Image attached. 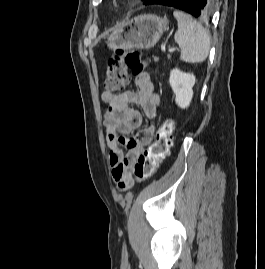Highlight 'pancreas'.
I'll use <instances>...</instances> for the list:
<instances>
[{"label": "pancreas", "instance_id": "cf45deb5", "mask_svg": "<svg viewBox=\"0 0 265 269\" xmlns=\"http://www.w3.org/2000/svg\"><path fill=\"white\" fill-rule=\"evenodd\" d=\"M170 58H171V56L168 55V59H170ZM154 60H155V61H158V58H157V57H154Z\"/></svg>", "mask_w": 265, "mask_h": 269}]
</instances>
